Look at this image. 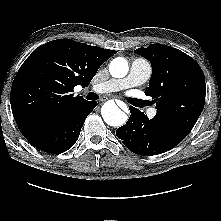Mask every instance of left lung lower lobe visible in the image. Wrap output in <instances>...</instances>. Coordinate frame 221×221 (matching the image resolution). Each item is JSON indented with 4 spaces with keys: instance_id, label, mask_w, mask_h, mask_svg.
Wrapping results in <instances>:
<instances>
[{
    "instance_id": "left-lung-lower-lobe-1",
    "label": "left lung lower lobe",
    "mask_w": 221,
    "mask_h": 221,
    "mask_svg": "<svg viewBox=\"0 0 221 221\" xmlns=\"http://www.w3.org/2000/svg\"><path fill=\"white\" fill-rule=\"evenodd\" d=\"M131 116L126 125L116 130V135L132 152L139 155H157L166 152L181 141L173 138L158 119H148L140 110L130 106Z\"/></svg>"
}]
</instances>
